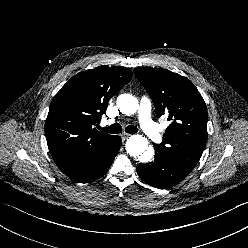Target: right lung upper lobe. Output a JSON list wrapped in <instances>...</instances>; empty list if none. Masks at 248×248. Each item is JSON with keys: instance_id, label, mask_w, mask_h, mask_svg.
Listing matches in <instances>:
<instances>
[{"instance_id": "obj_1", "label": "right lung upper lobe", "mask_w": 248, "mask_h": 248, "mask_svg": "<svg viewBox=\"0 0 248 248\" xmlns=\"http://www.w3.org/2000/svg\"><path fill=\"white\" fill-rule=\"evenodd\" d=\"M132 78L128 68L99 66L72 77L51 102L45 122L49 151L61 171L76 168L112 137L97 131L110 98Z\"/></svg>"}]
</instances>
